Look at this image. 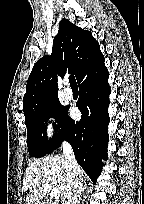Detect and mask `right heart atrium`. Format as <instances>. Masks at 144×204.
I'll list each match as a JSON object with an SVG mask.
<instances>
[{"label":"right heart atrium","mask_w":144,"mask_h":204,"mask_svg":"<svg viewBox=\"0 0 144 204\" xmlns=\"http://www.w3.org/2000/svg\"><path fill=\"white\" fill-rule=\"evenodd\" d=\"M58 122L54 115H50L44 122V133L48 140H52L58 134Z\"/></svg>","instance_id":"right-heart-atrium-1"}]
</instances>
